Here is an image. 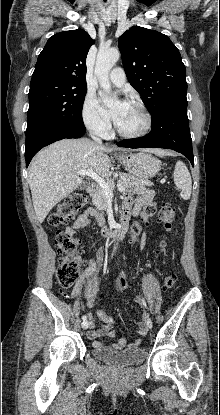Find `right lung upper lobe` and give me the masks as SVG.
Returning <instances> with one entry per match:
<instances>
[{
  "mask_svg": "<svg viewBox=\"0 0 220 415\" xmlns=\"http://www.w3.org/2000/svg\"><path fill=\"white\" fill-rule=\"evenodd\" d=\"M93 42L83 29L53 35L38 56L31 81L55 79L86 85V57Z\"/></svg>",
  "mask_w": 220,
  "mask_h": 415,
  "instance_id": "cb5924a9",
  "label": "right lung upper lobe"
}]
</instances>
